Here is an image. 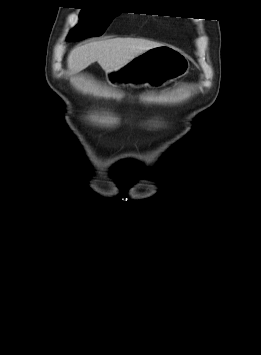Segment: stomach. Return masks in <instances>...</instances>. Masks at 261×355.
Here are the masks:
<instances>
[{"mask_svg":"<svg viewBox=\"0 0 261 355\" xmlns=\"http://www.w3.org/2000/svg\"><path fill=\"white\" fill-rule=\"evenodd\" d=\"M189 68L184 53L161 45L143 52L117 70L106 72V79L113 85L162 86L186 75Z\"/></svg>","mask_w":261,"mask_h":355,"instance_id":"0dacf381","label":"stomach"}]
</instances>
